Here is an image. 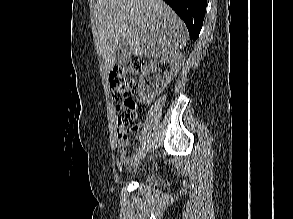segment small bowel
Segmentation results:
<instances>
[{
  "instance_id": "obj_1",
  "label": "small bowel",
  "mask_w": 293,
  "mask_h": 219,
  "mask_svg": "<svg viewBox=\"0 0 293 219\" xmlns=\"http://www.w3.org/2000/svg\"><path fill=\"white\" fill-rule=\"evenodd\" d=\"M117 142L119 146L120 160L123 163L129 161V157L126 155V147L129 145V137L126 134H123L119 130L117 131Z\"/></svg>"
}]
</instances>
